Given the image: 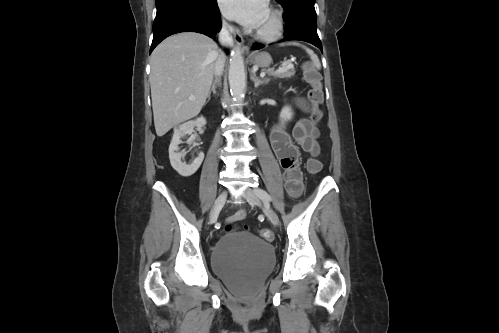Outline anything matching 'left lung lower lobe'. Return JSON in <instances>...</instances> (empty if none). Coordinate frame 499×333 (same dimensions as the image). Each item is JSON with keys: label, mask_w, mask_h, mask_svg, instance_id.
I'll use <instances>...</instances> for the list:
<instances>
[{"label": "left lung lower lobe", "mask_w": 499, "mask_h": 333, "mask_svg": "<svg viewBox=\"0 0 499 333\" xmlns=\"http://www.w3.org/2000/svg\"><path fill=\"white\" fill-rule=\"evenodd\" d=\"M315 1L292 0L283 6L286 22L285 37L281 41L300 40L311 43L322 51V44L317 34ZM264 45L254 44L253 49Z\"/></svg>", "instance_id": "0a47b994"}]
</instances>
